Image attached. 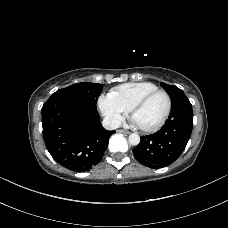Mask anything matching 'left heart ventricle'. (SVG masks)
Here are the masks:
<instances>
[{"mask_svg": "<svg viewBox=\"0 0 228 228\" xmlns=\"http://www.w3.org/2000/svg\"><path fill=\"white\" fill-rule=\"evenodd\" d=\"M166 106V97L163 94H156L134 112L133 121L139 127L153 126L162 118Z\"/></svg>", "mask_w": 228, "mask_h": 228, "instance_id": "left-heart-ventricle-1", "label": "left heart ventricle"}]
</instances>
